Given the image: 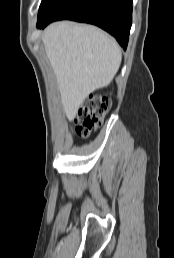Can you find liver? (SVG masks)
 Returning <instances> with one entry per match:
<instances>
[{"instance_id": "1", "label": "liver", "mask_w": 174, "mask_h": 258, "mask_svg": "<svg viewBox=\"0 0 174 258\" xmlns=\"http://www.w3.org/2000/svg\"><path fill=\"white\" fill-rule=\"evenodd\" d=\"M42 41L64 112L73 119L89 94L110 84L121 64V50L99 28L67 21L49 25Z\"/></svg>"}]
</instances>
